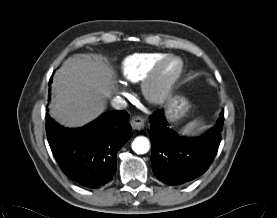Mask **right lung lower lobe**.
<instances>
[{"label": "right lung lower lobe", "mask_w": 277, "mask_h": 218, "mask_svg": "<svg viewBox=\"0 0 277 218\" xmlns=\"http://www.w3.org/2000/svg\"><path fill=\"white\" fill-rule=\"evenodd\" d=\"M128 120L126 111H113L81 128L66 129L48 117V142L66 176L88 188L109 182L116 172L117 152L132 136Z\"/></svg>", "instance_id": "obj_1"}]
</instances>
